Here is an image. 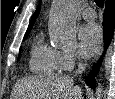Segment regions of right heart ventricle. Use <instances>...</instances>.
<instances>
[{
  "label": "right heart ventricle",
  "mask_w": 115,
  "mask_h": 99,
  "mask_svg": "<svg viewBox=\"0 0 115 99\" xmlns=\"http://www.w3.org/2000/svg\"><path fill=\"white\" fill-rule=\"evenodd\" d=\"M29 66L32 72L41 75H52L60 70L58 63V51L43 43L38 36L32 45Z\"/></svg>",
  "instance_id": "obj_1"
}]
</instances>
